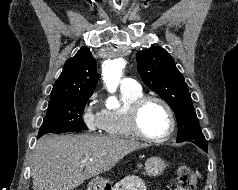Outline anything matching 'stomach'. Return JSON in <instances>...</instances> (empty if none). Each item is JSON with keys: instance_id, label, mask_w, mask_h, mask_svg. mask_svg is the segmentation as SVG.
<instances>
[{"instance_id": "1", "label": "stomach", "mask_w": 238, "mask_h": 190, "mask_svg": "<svg viewBox=\"0 0 238 190\" xmlns=\"http://www.w3.org/2000/svg\"><path fill=\"white\" fill-rule=\"evenodd\" d=\"M166 167L165 161L160 157H151L145 161V172L150 177H157L161 175ZM107 181L103 178L93 179L89 187L93 190H104Z\"/></svg>"}]
</instances>
